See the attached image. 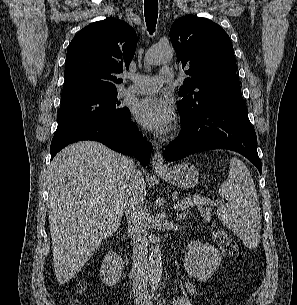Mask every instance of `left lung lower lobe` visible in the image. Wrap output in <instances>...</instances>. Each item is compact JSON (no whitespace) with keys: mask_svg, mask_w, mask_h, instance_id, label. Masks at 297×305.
I'll list each match as a JSON object with an SVG mask.
<instances>
[{"mask_svg":"<svg viewBox=\"0 0 297 305\" xmlns=\"http://www.w3.org/2000/svg\"><path fill=\"white\" fill-rule=\"evenodd\" d=\"M183 127L164 151L168 161L210 149H229L250 160L262 172L257 153V137L247 114L241 92L210 102L200 111L181 114Z\"/></svg>","mask_w":297,"mask_h":305,"instance_id":"left-lung-lower-lobe-1","label":"left lung lower lobe"}]
</instances>
